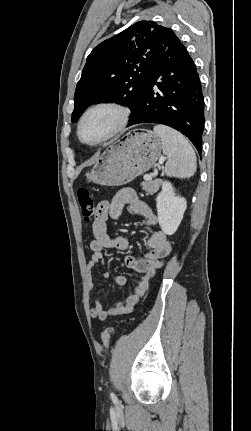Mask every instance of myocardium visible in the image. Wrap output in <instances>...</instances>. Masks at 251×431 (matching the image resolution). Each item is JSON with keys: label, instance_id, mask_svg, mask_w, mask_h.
<instances>
[{"label": "myocardium", "instance_id": "myocardium-1", "mask_svg": "<svg viewBox=\"0 0 251 431\" xmlns=\"http://www.w3.org/2000/svg\"><path fill=\"white\" fill-rule=\"evenodd\" d=\"M99 109H111L113 111H115L117 113V121L115 123V125L113 126V128L109 131V133L104 136L103 138H101L100 140L90 143L87 142L83 139L82 134H81V129H82V125L84 120L86 119V117L92 113L93 111L99 110ZM130 119V110L115 101H101L98 102L90 107H88L84 113L82 114V116L79 119L78 125H77V135L79 140L88 146H98L101 145L105 142H107L108 140L112 139L113 137H115L116 135H118L120 132H122L125 127L127 126L128 122Z\"/></svg>", "mask_w": 251, "mask_h": 431}]
</instances>
